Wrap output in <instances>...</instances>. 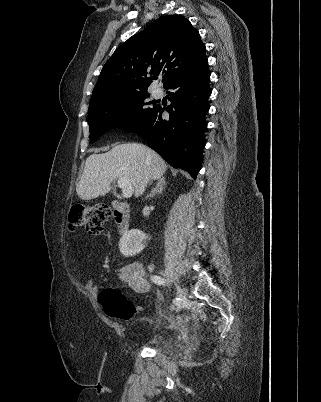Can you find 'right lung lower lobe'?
I'll use <instances>...</instances> for the list:
<instances>
[{
    "mask_svg": "<svg viewBox=\"0 0 321 402\" xmlns=\"http://www.w3.org/2000/svg\"><path fill=\"white\" fill-rule=\"evenodd\" d=\"M210 72L208 64L169 83V118L156 108L136 124L122 128L134 132L159 153L172 167L182 168L196 179L201 168L205 114L209 110Z\"/></svg>",
    "mask_w": 321,
    "mask_h": 402,
    "instance_id": "98d812e1",
    "label": "right lung lower lobe"
}]
</instances>
